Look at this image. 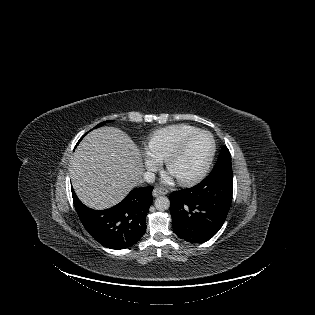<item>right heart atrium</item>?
Returning <instances> with one entry per match:
<instances>
[{
  "label": "right heart atrium",
  "mask_w": 315,
  "mask_h": 315,
  "mask_svg": "<svg viewBox=\"0 0 315 315\" xmlns=\"http://www.w3.org/2000/svg\"><path fill=\"white\" fill-rule=\"evenodd\" d=\"M144 159L145 164L149 170L155 169L159 164V160L152 156L148 151H146Z\"/></svg>",
  "instance_id": "obj_1"
}]
</instances>
